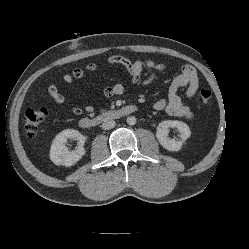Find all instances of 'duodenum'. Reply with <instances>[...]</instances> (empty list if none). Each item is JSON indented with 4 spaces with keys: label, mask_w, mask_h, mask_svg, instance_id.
I'll use <instances>...</instances> for the list:
<instances>
[{
    "label": "duodenum",
    "mask_w": 249,
    "mask_h": 249,
    "mask_svg": "<svg viewBox=\"0 0 249 249\" xmlns=\"http://www.w3.org/2000/svg\"><path fill=\"white\" fill-rule=\"evenodd\" d=\"M137 111H138V107L136 105L123 106L119 109L99 113L98 115L94 117H84L80 119L79 126L80 128L85 129V130L92 129V128L99 126L105 121L118 120L126 116H129Z\"/></svg>",
    "instance_id": "obj_1"
}]
</instances>
